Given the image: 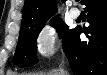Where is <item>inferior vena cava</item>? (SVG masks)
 I'll list each match as a JSON object with an SVG mask.
<instances>
[{
    "instance_id": "obj_1",
    "label": "inferior vena cava",
    "mask_w": 107,
    "mask_h": 75,
    "mask_svg": "<svg viewBox=\"0 0 107 75\" xmlns=\"http://www.w3.org/2000/svg\"><path fill=\"white\" fill-rule=\"evenodd\" d=\"M59 75H68L67 72L63 69V67H60L58 70Z\"/></svg>"
}]
</instances>
